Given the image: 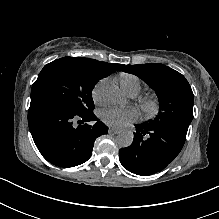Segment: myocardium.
I'll return each mask as SVG.
<instances>
[{
  "mask_svg": "<svg viewBox=\"0 0 219 219\" xmlns=\"http://www.w3.org/2000/svg\"><path fill=\"white\" fill-rule=\"evenodd\" d=\"M136 103L143 115L148 119L157 118L161 111V101L154 94H141L136 98Z\"/></svg>",
  "mask_w": 219,
  "mask_h": 219,
  "instance_id": "f54148a6",
  "label": "myocardium"
}]
</instances>
